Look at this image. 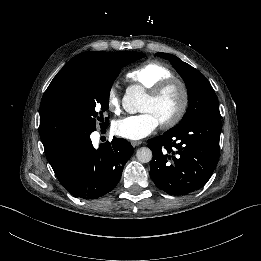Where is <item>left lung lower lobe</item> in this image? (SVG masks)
I'll return each instance as SVG.
<instances>
[{
	"label": "left lung lower lobe",
	"mask_w": 261,
	"mask_h": 261,
	"mask_svg": "<svg viewBox=\"0 0 261 261\" xmlns=\"http://www.w3.org/2000/svg\"><path fill=\"white\" fill-rule=\"evenodd\" d=\"M221 129V120L200 118L148 140L153 153L150 176L155 185L170 195L202 188L219 160Z\"/></svg>",
	"instance_id": "obj_1"
}]
</instances>
